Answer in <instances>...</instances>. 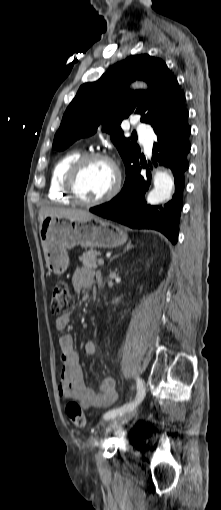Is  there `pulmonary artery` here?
<instances>
[{"label":"pulmonary artery","instance_id":"obj_1","mask_svg":"<svg viewBox=\"0 0 221 510\" xmlns=\"http://www.w3.org/2000/svg\"><path fill=\"white\" fill-rule=\"evenodd\" d=\"M136 128L142 145L147 151H150L153 144V132L144 123H136Z\"/></svg>","mask_w":221,"mask_h":510}]
</instances>
